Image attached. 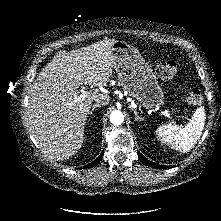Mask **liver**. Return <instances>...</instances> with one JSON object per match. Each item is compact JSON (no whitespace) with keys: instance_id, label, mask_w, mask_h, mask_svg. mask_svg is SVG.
<instances>
[{"instance_id":"6515ba94","label":"liver","mask_w":221,"mask_h":221,"mask_svg":"<svg viewBox=\"0 0 221 221\" xmlns=\"http://www.w3.org/2000/svg\"><path fill=\"white\" fill-rule=\"evenodd\" d=\"M106 39L70 52L59 51L39 73L29 96L28 118L31 132L40 148L53 160H67L84 141V126L97 91L83 100L77 90L84 82L107 86L114 67Z\"/></svg>"}]
</instances>
